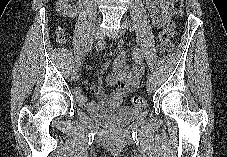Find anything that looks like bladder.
Instances as JSON below:
<instances>
[{
	"instance_id": "bladder-1",
	"label": "bladder",
	"mask_w": 227,
	"mask_h": 157,
	"mask_svg": "<svg viewBox=\"0 0 227 157\" xmlns=\"http://www.w3.org/2000/svg\"><path fill=\"white\" fill-rule=\"evenodd\" d=\"M142 112L140 107L118 104L91 111L90 116L106 126H121L132 122Z\"/></svg>"
}]
</instances>
